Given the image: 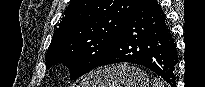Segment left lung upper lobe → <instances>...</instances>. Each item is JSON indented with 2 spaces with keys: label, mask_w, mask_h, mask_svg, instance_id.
<instances>
[{
  "label": "left lung upper lobe",
  "mask_w": 205,
  "mask_h": 87,
  "mask_svg": "<svg viewBox=\"0 0 205 87\" xmlns=\"http://www.w3.org/2000/svg\"><path fill=\"white\" fill-rule=\"evenodd\" d=\"M136 0H72L45 56L46 68L64 63L76 79L98 67Z\"/></svg>",
  "instance_id": "1"
}]
</instances>
